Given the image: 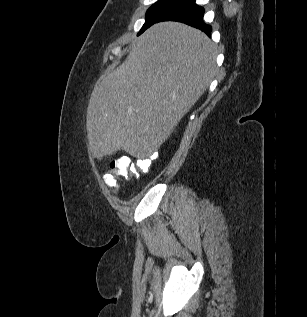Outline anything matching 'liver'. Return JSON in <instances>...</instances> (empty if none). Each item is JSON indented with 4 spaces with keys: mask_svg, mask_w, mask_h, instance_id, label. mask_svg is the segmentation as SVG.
<instances>
[{
    "mask_svg": "<svg viewBox=\"0 0 307 317\" xmlns=\"http://www.w3.org/2000/svg\"><path fill=\"white\" fill-rule=\"evenodd\" d=\"M215 60L216 47L200 30L178 22L150 27L92 92L87 133L94 156L123 149L143 159L158 150L208 88Z\"/></svg>",
    "mask_w": 307,
    "mask_h": 317,
    "instance_id": "6515ba94",
    "label": "liver"
}]
</instances>
